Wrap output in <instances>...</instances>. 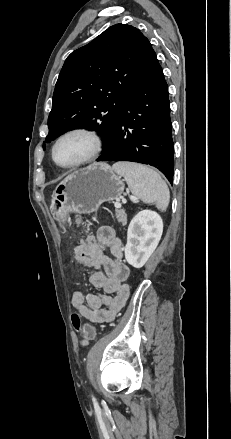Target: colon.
<instances>
[{
  "label": "colon",
  "mask_w": 231,
  "mask_h": 439,
  "mask_svg": "<svg viewBox=\"0 0 231 439\" xmlns=\"http://www.w3.org/2000/svg\"><path fill=\"white\" fill-rule=\"evenodd\" d=\"M75 262H76L74 265L75 268H77L78 271H80V272L83 271L84 268H83V266H81V264H84L86 262V259L84 257L78 256V257H76ZM72 323H73L74 328L77 331L81 332L83 338L86 341H90V340H93L95 338V336H96L95 327L90 323H86V324L82 325L78 314L72 315Z\"/></svg>",
  "instance_id": "1"
}]
</instances>
